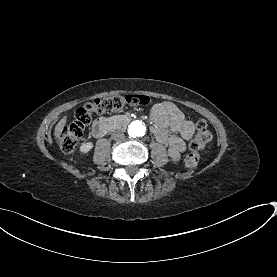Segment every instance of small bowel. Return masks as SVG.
I'll list each match as a JSON object with an SVG mask.
<instances>
[{
  "label": "small bowel",
  "instance_id": "1",
  "mask_svg": "<svg viewBox=\"0 0 277 277\" xmlns=\"http://www.w3.org/2000/svg\"><path fill=\"white\" fill-rule=\"evenodd\" d=\"M150 117L155 124L152 133L157 141L166 146L173 160H179L186 141L194 134V123L169 101L155 104L150 110Z\"/></svg>",
  "mask_w": 277,
  "mask_h": 277
}]
</instances>
